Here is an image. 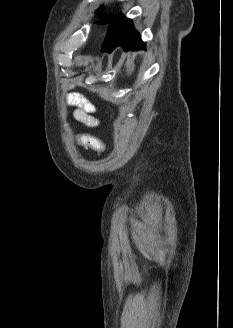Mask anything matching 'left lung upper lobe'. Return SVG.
Listing matches in <instances>:
<instances>
[{
  "mask_svg": "<svg viewBox=\"0 0 233 328\" xmlns=\"http://www.w3.org/2000/svg\"><path fill=\"white\" fill-rule=\"evenodd\" d=\"M102 10V8H99L97 11L100 12ZM114 19H111L110 16L106 17L105 19L103 20H100L98 22H95L96 24H107V23H110L111 21H113Z\"/></svg>",
  "mask_w": 233,
  "mask_h": 328,
  "instance_id": "1",
  "label": "left lung upper lobe"
}]
</instances>
